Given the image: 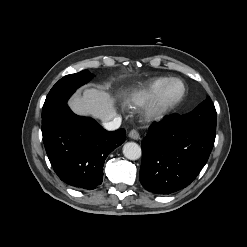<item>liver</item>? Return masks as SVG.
<instances>
[{
    "label": "liver",
    "instance_id": "liver-1",
    "mask_svg": "<svg viewBox=\"0 0 247 247\" xmlns=\"http://www.w3.org/2000/svg\"><path fill=\"white\" fill-rule=\"evenodd\" d=\"M68 105L78 115H90L103 122L116 117L113 99L107 92L100 89L86 88L82 96L72 97Z\"/></svg>",
    "mask_w": 247,
    "mask_h": 247
}]
</instances>
